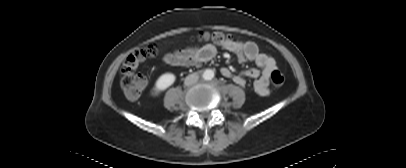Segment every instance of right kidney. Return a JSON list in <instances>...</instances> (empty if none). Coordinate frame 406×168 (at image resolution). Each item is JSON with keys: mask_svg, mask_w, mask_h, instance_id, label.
I'll return each mask as SVG.
<instances>
[{"mask_svg": "<svg viewBox=\"0 0 406 168\" xmlns=\"http://www.w3.org/2000/svg\"><path fill=\"white\" fill-rule=\"evenodd\" d=\"M175 82V75L172 73H165L161 75L156 83L155 87L153 88V95H157L160 91L166 90Z\"/></svg>", "mask_w": 406, "mask_h": 168, "instance_id": "1", "label": "right kidney"}]
</instances>
